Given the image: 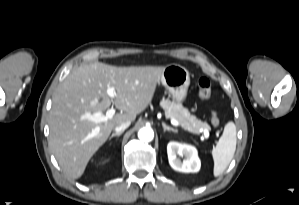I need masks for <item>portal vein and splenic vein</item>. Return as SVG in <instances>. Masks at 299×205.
<instances>
[{
    "label": "portal vein and splenic vein",
    "mask_w": 299,
    "mask_h": 205,
    "mask_svg": "<svg viewBox=\"0 0 299 205\" xmlns=\"http://www.w3.org/2000/svg\"><path fill=\"white\" fill-rule=\"evenodd\" d=\"M106 93L112 99L115 97V90L113 88H108ZM115 112H116L115 108H110L106 111L105 115L104 114L89 115L88 118L95 123H100V122L107 121L108 119H111L115 115ZM171 124L173 126H179V122L175 119H171ZM205 135L208 136V132H205Z\"/></svg>",
    "instance_id": "18ae733b"
}]
</instances>
